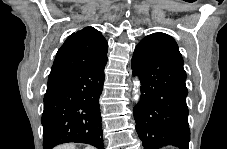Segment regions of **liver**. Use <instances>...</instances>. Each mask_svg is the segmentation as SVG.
<instances>
[{
	"label": "liver",
	"mask_w": 227,
	"mask_h": 149,
	"mask_svg": "<svg viewBox=\"0 0 227 149\" xmlns=\"http://www.w3.org/2000/svg\"><path fill=\"white\" fill-rule=\"evenodd\" d=\"M56 149H76V146L74 144H64L57 146Z\"/></svg>",
	"instance_id": "obj_1"
}]
</instances>
